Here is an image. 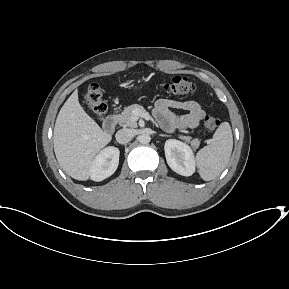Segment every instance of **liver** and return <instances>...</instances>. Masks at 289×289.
<instances>
[{"label": "liver", "instance_id": "obj_1", "mask_svg": "<svg viewBox=\"0 0 289 289\" xmlns=\"http://www.w3.org/2000/svg\"><path fill=\"white\" fill-rule=\"evenodd\" d=\"M111 138L83 110L75 90L60 109L53 132L60 167L74 179L87 180L93 158Z\"/></svg>", "mask_w": 289, "mask_h": 289}]
</instances>
